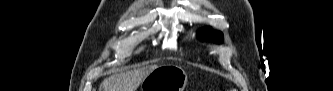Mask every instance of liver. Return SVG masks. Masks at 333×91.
<instances>
[{"label": "liver", "mask_w": 333, "mask_h": 91, "mask_svg": "<svg viewBox=\"0 0 333 91\" xmlns=\"http://www.w3.org/2000/svg\"><path fill=\"white\" fill-rule=\"evenodd\" d=\"M156 68H158L157 65H151L116 73L104 79L100 89L103 91H136L144 78Z\"/></svg>", "instance_id": "liver-1"}]
</instances>
